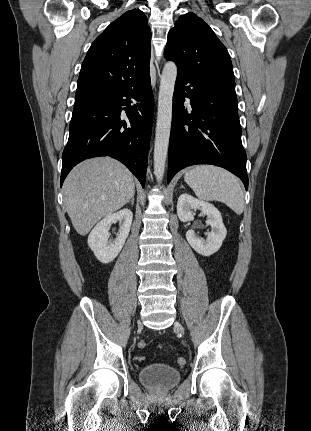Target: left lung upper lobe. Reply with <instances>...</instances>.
Returning a JSON list of instances; mask_svg holds the SVG:
<instances>
[{
  "instance_id": "obj_1",
  "label": "left lung upper lobe",
  "mask_w": 311,
  "mask_h": 431,
  "mask_svg": "<svg viewBox=\"0 0 311 431\" xmlns=\"http://www.w3.org/2000/svg\"><path fill=\"white\" fill-rule=\"evenodd\" d=\"M164 56L178 72L202 82L235 87L226 47L213 30L194 13L181 15L168 34Z\"/></svg>"
}]
</instances>
